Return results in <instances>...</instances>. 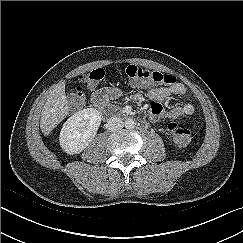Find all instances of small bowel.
Returning a JSON list of instances; mask_svg holds the SVG:
<instances>
[{
    "instance_id": "obj_1",
    "label": "small bowel",
    "mask_w": 243,
    "mask_h": 243,
    "mask_svg": "<svg viewBox=\"0 0 243 243\" xmlns=\"http://www.w3.org/2000/svg\"><path fill=\"white\" fill-rule=\"evenodd\" d=\"M96 85L97 84L89 85V88L94 90ZM132 86L147 90V95L151 100L148 116L152 121H156L160 118L178 119L190 116L194 112L193 106L188 103L175 106L171 109H166L163 105L172 95L181 96L186 93L187 89L182 83H176L170 87H155L148 84H137L132 82ZM120 95V90L116 88L95 90L92 93L91 101L94 104H98V101L100 100L106 101L117 98Z\"/></svg>"
}]
</instances>
